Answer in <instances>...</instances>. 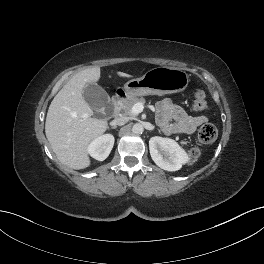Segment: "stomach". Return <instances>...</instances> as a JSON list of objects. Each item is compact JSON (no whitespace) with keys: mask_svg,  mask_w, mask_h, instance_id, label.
Instances as JSON below:
<instances>
[{"mask_svg":"<svg viewBox=\"0 0 264 264\" xmlns=\"http://www.w3.org/2000/svg\"><path fill=\"white\" fill-rule=\"evenodd\" d=\"M189 83L188 74L177 68L160 66L147 71L141 78L125 83L128 98L145 95H165L182 92Z\"/></svg>","mask_w":264,"mask_h":264,"instance_id":"obj_1","label":"stomach"}]
</instances>
